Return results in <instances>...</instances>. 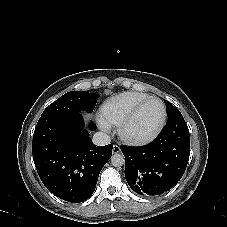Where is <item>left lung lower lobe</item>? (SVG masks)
Returning <instances> with one entry per match:
<instances>
[{
	"mask_svg": "<svg viewBox=\"0 0 227 227\" xmlns=\"http://www.w3.org/2000/svg\"><path fill=\"white\" fill-rule=\"evenodd\" d=\"M125 178L133 191L156 196L169 191L183 176L190 155V135L180 111L168 117L158 136L149 144L121 146Z\"/></svg>",
	"mask_w": 227,
	"mask_h": 227,
	"instance_id": "0a47b994",
	"label": "left lung lower lobe"
}]
</instances>
